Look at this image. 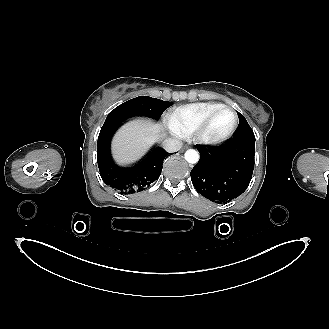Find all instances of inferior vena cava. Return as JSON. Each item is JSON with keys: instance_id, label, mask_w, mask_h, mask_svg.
<instances>
[{"instance_id": "1", "label": "inferior vena cava", "mask_w": 329, "mask_h": 329, "mask_svg": "<svg viewBox=\"0 0 329 329\" xmlns=\"http://www.w3.org/2000/svg\"><path fill=\"white\" fill-rule=\"evenodd\" d=\"M182 145V142L177 139H166L163 142V148L169 153L180 150Z\"/></svg>"}]
</instances>
